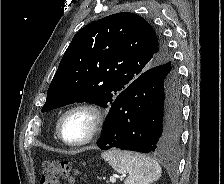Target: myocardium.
Returning <instances> with one entry per match:
<instances>
[{
  "label": "myocardium",
  "mask_w": 224,
  "mask_h": 184,
  "mask_svg": "<svg viewBox=\"0 0 224 184\" xmlns=\"http://www.w3.org/2000/svg\"><path fill=\"white\" fill-rule=\"evenodd\" d=\"M86 112L91 116V127L85 138L79 141H69L64 137L63 125L67 117L74 112ZM105 112L101 106L92 102H79L67 108L57 124V134L60 140L70 147H82L93 142L100 134L105 123Z\"/></svg>",
  "instance_id": "myocardium-1"
}]
</instances>
